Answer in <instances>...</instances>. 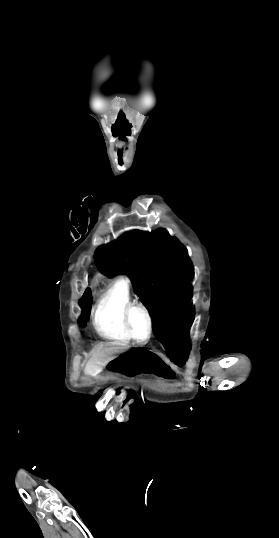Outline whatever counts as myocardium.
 <instances>
[{
  "mask_svg": "<svg viewBox=\"0 0 279 538\" xmlns=\"http://www.w3.org/2000/svg\"><path fill=\"white\" fill-rule=\"evenodd\" d=\"M135 311H140L145 316L146 321H147L148 335H147L146 339H144V340L137 339L134 336L133 332H132L131 317H132L133 312H135ZM123 324H124L125 331L128 334V336L130 337V339L133 340L137 344H146L147 342H149V340L151 339V337L153 335L154 322H153L152 315H151L149 309L145 305H143L141 303L134 302V303L129 304L125 308L124 313H123Z\"/></svg>",
  "mask_w": 279,
  "mask_h": 538,
  "instance_id": "f54148a6",
  "label": "myocardium"
}]
</instances>
